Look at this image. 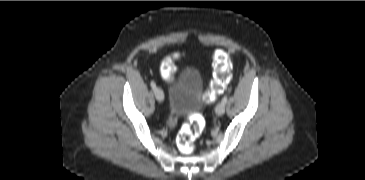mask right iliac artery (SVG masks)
<instances>
[{
	"mask_svg": "<svg viewBox=\"0 0 365 180\" xmlns=\"http://www.w3.org/2000/svg\"><path fill=\"white\" fill-rule=\"evenodd\" d=\"M150 85H151L152 89L155 90V88H156L155 82L154 81H151Z\"/></svg>",
	"mask_w": 365,
	"mask_h": 180,
	"instance_id": "82829eb1",
	"label": "right iliac artery"
}]
</instances>
